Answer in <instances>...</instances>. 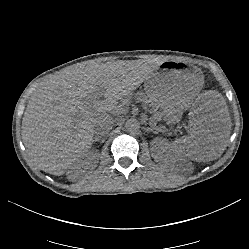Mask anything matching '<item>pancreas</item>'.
Instances as JSON below:
<instances>
[{
	"mask_svg": "<svg viewBox=\"0 0 249 249\" xmlns=\"http://www.w3.org/2000/svg\"><path fill=\"white\" fill-rule=\"evenodd\" d=\"M141 102H150V106L152 107V112H156L158 110V107L155 106L149 99L146 98L144 93H141L140 98H138Z\"/></svg>",
	"mask_w": 249,
	"mask_h": 249,
	"instance_id": "obj_1",
	"label": "pancreas"
}]
</instances>
